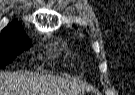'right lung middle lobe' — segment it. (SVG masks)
I'll return each instance as SVG.
<instances>
[{
	"instance_id": "obj_1",
	"label": "right lung middle lobe",
	"mask_w": 135,
	"mask_h": 95,
	"mask_svg": "<svg viewBox=\"0 0 135 95\" xmlns=\"http://www.w3.org/2000/svg\"><path fill=\"white\" fill-rule=\"evenodd\" d=\"M31 47L24 33H13L0 37V68L11 63L15 57Z\"/></svg>"
}]
</instances>
